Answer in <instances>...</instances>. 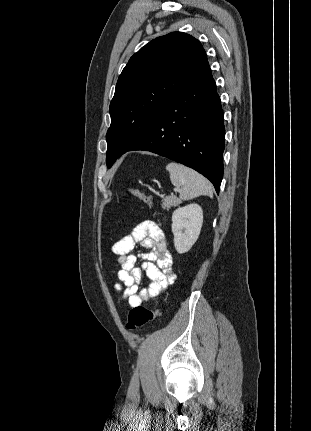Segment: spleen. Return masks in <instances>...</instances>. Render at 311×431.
Here are the masks:
<instances>
[{
    "label": "spleen",
    "instance_id": "obj_1",
    "mask_svg": "<svg viewBox=\"0 0 311 431\" xmlns=\"http://www.w3.org/2000/svg\"><path fill=\"white\" fill-rule=\"evenodd\" d=\"M166 170L170 174L171 184L176 188H182L179 192L181 200H193L198 196L213 198V188L210 182L198 172L181 166V164H175V162L168 164Z\"/></svg>",
    "mask_w": 311,
    "mask_h": 431
}]
</instances>
